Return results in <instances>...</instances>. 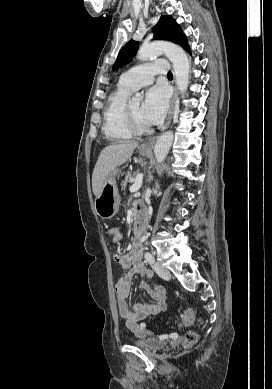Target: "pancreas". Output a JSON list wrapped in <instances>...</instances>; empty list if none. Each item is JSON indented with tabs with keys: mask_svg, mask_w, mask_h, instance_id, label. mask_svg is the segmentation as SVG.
Segmentation results:
<instances>
[{
	"mask_svg": "<svg viewBox=\"0 0 272 389\" xmlns=\"http://www.w3.org/2000/svg\"><path fill=\"white\" fill-rule=\"evenodd\" d=\"M135 181V176L134 175H127L125 180L122 182L121 186H122V190H125V187L127 186L128 183H132Z\"/></svg>",
	"mask_w": 272,
	"mask_h": 389,
	"instance_id": "1",
	"label": "pancreas"
}]
</instances>
